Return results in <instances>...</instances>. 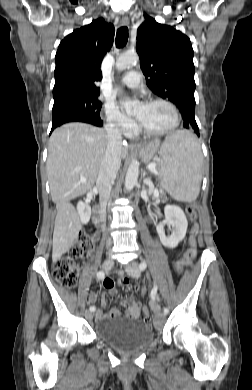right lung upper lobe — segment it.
I'll use <instances>...</instances> for the list:
<instances>
[{
	"label": "right lung upper lobe",
	"instance_id": "cb5924a9",
	"mask_svg": "<svg viewBox=\"0 0 252 390\" xmlns=\"http://www.w3.org/2000/svg\"><path fill=\"white\" fill-rule=\"evenodd\" d=\"M114 40V26L103 18L76 29L60 43L55 56L54 101L77 95H99L100 64Z\"/></svg>",
	"mask_w": 252,
	"mask_h": 390
}]
</instances>
